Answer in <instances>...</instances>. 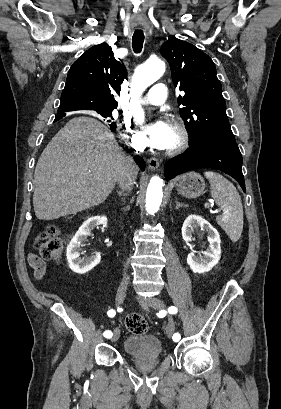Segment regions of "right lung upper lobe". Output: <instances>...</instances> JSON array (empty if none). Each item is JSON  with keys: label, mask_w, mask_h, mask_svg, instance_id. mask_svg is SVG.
<instances>
[{"label": "right lung upper lobe", "mask_w": 281, "mask_h": 409, "mask_svg": "<svg viewBox=\"0 0 281 409\" xmlns=\"http://www.w3.org/2000/svg\"><path fill=\"white\" fill-rule=\"evenodd\" d=\"M126 78L125 66L114 58L106 43L87 50L71 66L57 114L76 110L113 111L114 95Z\"/></svg>", "instance_id": "1"}]
</instances>
